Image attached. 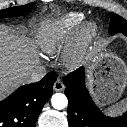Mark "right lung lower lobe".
Wrapping results in <instances>:
<instances>
[{
	"instance_id": "98d812e1",
	"label": "right lung lower lobe",
	"mask_w": 127,
	"mask_h": 127,
	"mask_svg": "<svg viewBox=\"0 0 127 127\" xmlns=\"http://www.w3.org/2000/svg\"><path fill=\"white\" fill-rule=\"evenodd\" d=\"M55 72L37 83L21 86L0 102V127H36L37 118L52 95Z\"/></svg>"
}]
</instances>
